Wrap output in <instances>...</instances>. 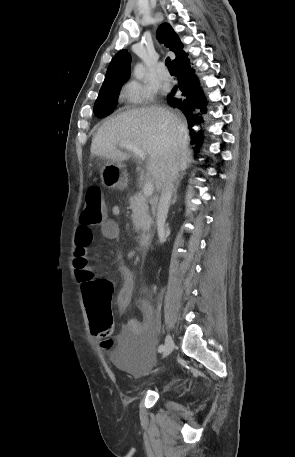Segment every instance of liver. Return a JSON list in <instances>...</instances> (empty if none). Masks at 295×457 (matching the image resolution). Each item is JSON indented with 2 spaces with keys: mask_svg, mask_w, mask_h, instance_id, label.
Returning <instances> with one entry per match:
<instances>
[{
  "mask_svg": "<svg viewBox=\"0 0 295 457\" xmlns=\"http://www.w3.org/2000/svg\"><path fill=\"white\" fill-rule=\"evenodd\" d=\"M185 121L164 107H143L128 110L106 121L91 144V154L114 161L130 156L117 149L121 142H131L147 155L146 169L157 190L172 161L185 172L191 162Z\"/></svg>",
  "mask_w": 295,
  "mask_h": 457,
  "instance_id": "6515ba94",
  "label": "liver"
}]
</instances>
